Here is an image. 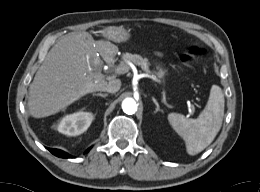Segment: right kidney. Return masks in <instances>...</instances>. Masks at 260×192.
Segmentation results:
<instances>
[{
  "mask_svg": "<svg viewBox=\"0 0 260 192\" xmlns=\"http://www.w3.org/2000/svg\"><path fill=\"white\" fill-rule=\"evenodd\" d=\"M92 120L93 115L88 112L67 115L61 120L58 131L68 136H77L88 129Z\"/></svg>",
  "mask_w": 260,
  "mask_h": 192,
  "instance_id": "right-kidney-1",
  "label": "right kidney"
}]
</instances>
